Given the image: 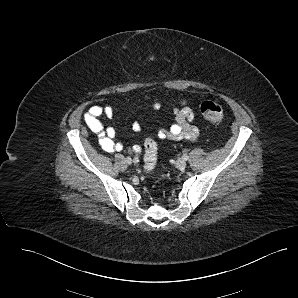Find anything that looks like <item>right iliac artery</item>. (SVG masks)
<instances>
[{
    "label": "right iliac artery",
    "instance_id": "right-iliac-artery-1",
    "mask_svg": "<svg viewBox=\"0 0 298 298\" xmlns=\"http://www.w3.org/2000/svg\"><path fill=\"white\" fill-rule=\"evenodd\" d=\"M133 161H134L135 163H138V162H139V158H138V157H134Z\"/></svg>",
    "mask_w": 298,
    "mask_h": 298
}]
</instances>
